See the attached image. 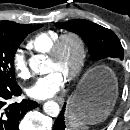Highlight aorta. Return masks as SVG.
<instances>
[{"label":"aorta","instance_id":"762f6f07","mask_svg":"<svg viewBox=\"0 0 130 130\" xmlns=\"http://www.w3.org/2000/svg\"><path fill=\"white\" fill-rule=\"evenodd\" d=\"M29 66L36 74L47 73L46 57L44 55H34L29 59ZM44 112L51 116L57 117L60 113V107L55 101H47L43 105Z\"/></svg>","mask_w":130,"mask_h":130}]
</instances>
